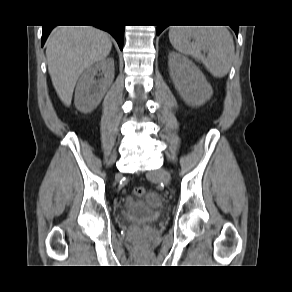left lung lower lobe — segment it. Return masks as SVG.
<instances>
[{
    "label": "left lung lower lobe",
    "mask_w": 292,
    "mask_h": 292,
    "mask_svg": "<svg viewBox=\"0 0 292 292\" xmlns=\"http://www.w3.org/2000/svg\"><path fill=\"white\" fill-rule=\"evenodd\" d=\"M165 28L166 26H157V35H159ZM232 28L235 31L236 35H238V26H232Z\"/></svg>",
    "instance_id": "0a47b994"
}]
</instances>
